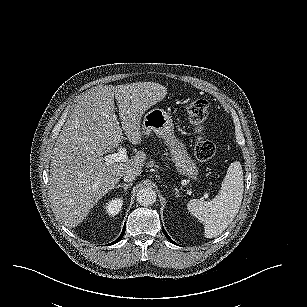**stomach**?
Instances as JSON below:
<instances>
[{
  "mask_svg": "<svg viewBox=\"0 0 307 307\" xmlns=\"http://www.w3.org/2000/svg\"><path fill=\"white\" fill-rule=\"evenodd\" d=\"M141 133L150 138L156 135L163 138L168 145L171 159L177 169L186 176L195 177L197 169L182 142L173 135V120L164 109L153 108L144 114L141 123Z\"/></svg>",
  "mask_w": 307,
  "mask_h": 307,
  "instance_id": "0dacf381",
  "label": "stomach"
}]
</instances>
